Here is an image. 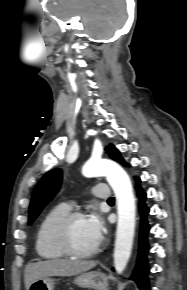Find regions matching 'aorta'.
Segmentation results:
<instances>
[{
	"mask_svg": "<svg viewBox=\"0 0 187 290\" xmlns=\"http://www.w3.org/2000/svg\"><path fill=\"white\" fill-rule=\"evenodd\" d=\"M82 173L85 177L105 176L114 190L118 209L114 267L121 274L131 255L135 231V198L130 179L119 165L102 159L89 160Z\"/></svg>",
	"mask_w": 187,
	"mask_h": 290,
	"instance_id": "762f6f07",
	"label": "aorta"
}]
</instances>
